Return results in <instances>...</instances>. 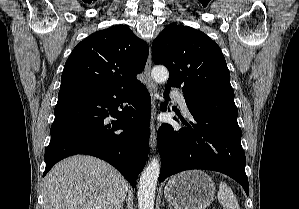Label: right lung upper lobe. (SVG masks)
<instances>
[{"instance_id": "1", "label": "right lung upper lobe", "mask_w": 299, "mask_h": 209, "mask_svg": "<svg viewBox=\"0 0 299 209\" xmlns=\"http://www.w3.org/2000/svg\"><path fill=\"white\" fill-rule=\"evenodd\" d=\"M149 48L130 28L118 25L97 31L81 41L68 57L60 91L91 93L139 84Z\"/></svg>"}]
</instances>
